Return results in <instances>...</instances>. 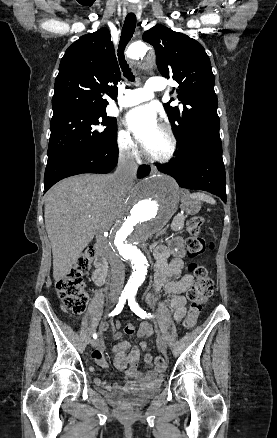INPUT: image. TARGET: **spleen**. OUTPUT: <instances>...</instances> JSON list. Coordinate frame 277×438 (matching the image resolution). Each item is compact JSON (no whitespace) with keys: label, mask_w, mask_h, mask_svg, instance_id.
<instances>
[{"label":"spleen","mask_w":277,"mask_h":438,"mask_svg":"<svg viewBox=\"0 0 277 438\" xmlns=\"http://www.w3.org/2000/svg\"><path fill=\"white\" fill-rule=\"evenodd\" d=\"M190 198H193V200H202V202H208V204H216L213 198H209L206 194H200V192H197V194H191Z\"/></svg>","instance_id":"3e777b00"}]
</instances>
